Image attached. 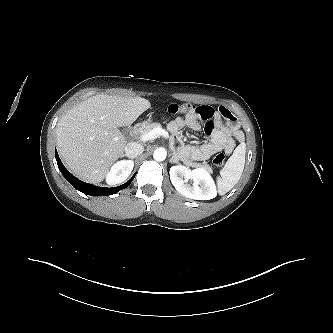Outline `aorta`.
<instances>
[{"mask_svg": "<svg viewBox=\"0 0 333 333\" xmlns=\"http://www.w3.org/2000/svg\"><path fill=\"white\" fill-rule=\"evenodd\" d=\"M167 152L164 148H157L154 151L153 157L156 161H164L166 159Z\"/></svg>", "mask_w": 333, "mask_h": 333, "instance_id": "762f6f07", "label": "aorta"}]
</instances>
